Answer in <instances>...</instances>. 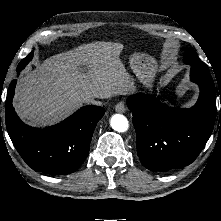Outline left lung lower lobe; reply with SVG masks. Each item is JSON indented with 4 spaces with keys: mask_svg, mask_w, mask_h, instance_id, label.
Segmentation results:
<instances>
[{
    "mask_svg": "<svg viewBox=\"0 0 221 221\" xmlns=\"http://www.w3.org/2000/svg\"><path fill=\"white\" fill-rule=\"evenodd\" d=\"M191 66V80L200 86L199 99L192 108H170L147 94L127 99L133 112L137 153L151 171L191 164L212 133L216 117L214 82L205 67Z\"/></svg>",
    "mask_w": 221,
    "mask_h": 221,
    "instance_id": "1",
    "label": "left lung lower lobe"
}]
</instances>
